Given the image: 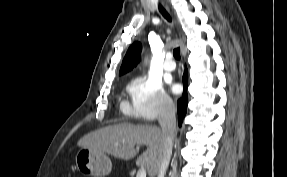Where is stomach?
Segmentation results:
<instances>
[{
  "label": "stomach",
  "mask_w": 287,
  "mask_h": 177,
  "mask_svg": "<svg viewBox=\"0 0 287 177\" xmlns=\"http://www.w3.org/2000/svg\"><path fill=\"white\" fill-rule=\"evenodd\" d=\"M76 167L79 172L87 176L105 177L112 170L110 158L102 152L80 148L75 156Z\"/></svg>",
  "instance_id": "0dacf381"
}]
</instances>
